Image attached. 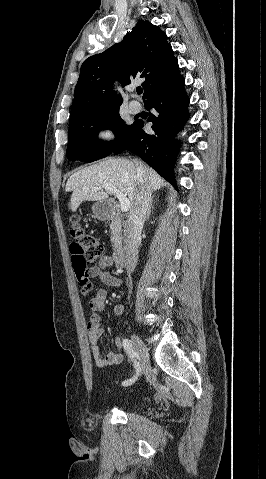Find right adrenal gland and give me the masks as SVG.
I'll list each match as a JSON object with an SVG mask.
<instances>
[{
    "instance_id": "obj_1",
    "label": "right adrenal gland",
    "mask_w": 266,
    "mask_h": 479,
    "mask_svg": "<svg viewBox=\"0 0 266 479\" xmlns=\"http://www.w3.org/2000/svg\"><path fill=\"white\" fill-rule=\"evenodd\" d=\"M152 206H153V198L151 199L149 207H148L147 216H146L147 220H149Z\"/></svg>"
}]
</instances>
